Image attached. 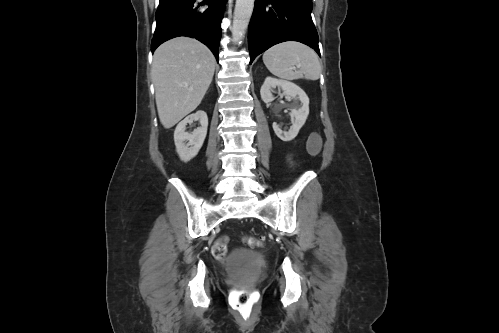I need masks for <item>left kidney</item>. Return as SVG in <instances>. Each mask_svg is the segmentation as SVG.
<instances>
[{"label": "left kidney", "mask_w": 499, "mask_h": 333, "mask_svg": "<svg viewBox=\"0 0 499 333\" xmlns=\"http://www.w3.org/2000/svg\"><path fill=\"white\" fill-rule=\"evenodd\" d=\"M276 87L281 88L283 95L286 97L298 99L301 102L300 105L295 104L291 110L292 126L288 131L282 130L276 122L273 123L275 134L282 141L287 142L293 140L298 135L299 130L306 122L309 115V98L298 85L286 80L267 77L260 89L261 98L265 103H270L274 100L272 92Z\"/></svg>", "instance_id": "1"}]
</instances>
